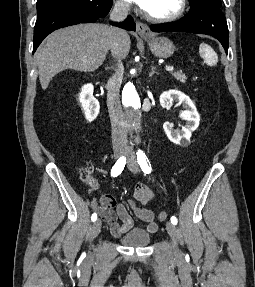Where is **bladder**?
<instances>
[{
    "label": "bladder",
    "instance_id": "bladder-1",
    "mask_svg": "<svg viewBox=\"0 0 255 287\" xmlns=\"http://www.w3.org/2000/svg\"><path fill=\"white\" fill-rule=\"evenodd\" d=\"M119 241L128 247H142L150 243L151 234L143 228L136 227L121 236Z\"/></svg>",
    "mask_w": 255,
    "mask_h": 287
}]
</instances>
